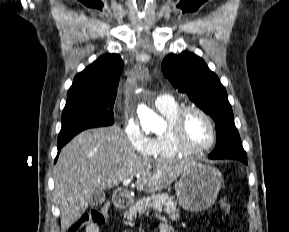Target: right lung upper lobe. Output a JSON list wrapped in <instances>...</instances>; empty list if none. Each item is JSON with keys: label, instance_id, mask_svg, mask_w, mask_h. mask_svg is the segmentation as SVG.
Segmentation results:
<instances>
[{"label": "right lung upper lobe", "instance_id": "cb5924a9", "mask_svg": "<svg viewBox=\"0 0 289 232\" xmlns=\"http://www.w3.org/2000/svg\"><path fill=\"white\" fill-rule=\"evenodd\" d=\"M124 63L118 54L100 56L78 73L68 90L67 100L80 97H116Z\"/></svg>", "mask_w": 289, "mask_h": 232}]
</instances>
